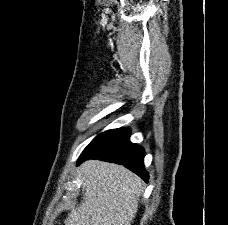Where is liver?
<instances>
[{
	"label": "liver",
	"instance_id": "obj_1",
	"mask_svg": "<svg viewBox=\"0 0 228 225\" xmlns=\"http://www.w3.org/2000/svg\"><path fill=\"white\" fill-rule=\"evenodd\" d=\"M82 199L65 225H131L143 193L140 177L113 163L86 161L79 167Z\"/></svg>",
	"mask_w": 228,
	"mask_h": 225
}]
</instances>
